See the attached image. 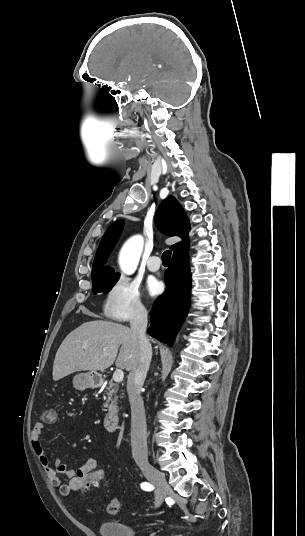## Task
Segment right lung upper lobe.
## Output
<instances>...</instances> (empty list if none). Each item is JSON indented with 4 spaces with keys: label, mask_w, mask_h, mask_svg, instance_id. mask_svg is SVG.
<instances>
[{
    "label": "right lung upper lobe",
    "mask_w": 305,
    "mask_h": 536,
    "mask_svg": "<svg viewBox=\"0 0 305 536\" xmlns=\"http://www.w3.org/2000/svg\"><path fill=\"white\" fill-rule=\"evenodd\" d=\"M155 222L157 227L167 235L179 236L182 238L181 242L171 246L173 256L182 255L188 252L190 223L184 209L175 197L169 196L162 201L157 209ZM122 229L123 220H118L106 230L93 262L92 280L120 276L118 273H114L112 268L104 267L102 264L105 262L110 250L117 242Z\"/></svg>",
    "instance_id": "1"
}]
</instances>
